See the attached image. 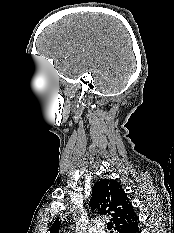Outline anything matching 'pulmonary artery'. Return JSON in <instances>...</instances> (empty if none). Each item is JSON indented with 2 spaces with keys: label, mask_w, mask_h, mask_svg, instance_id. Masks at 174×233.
Returning <instances> with one entry per match:
<instances>
[{
  "label": "pulmonary artery",
  "mask_w": 174,
  "mask_h": 233,
  "mask_svg": "<svg viewBox=\"0 0 174 233\" xmlns=\"http://www.w3.org/2000/svg\"><path fill=\"white\" fill-rule=\"evenodd\" d=\"M89 233H105L100 225L93 226L89 229Z\"/></svg>",
  "instance_id": "obj_1"
}]
</instances>
